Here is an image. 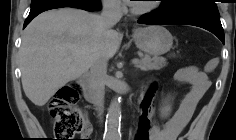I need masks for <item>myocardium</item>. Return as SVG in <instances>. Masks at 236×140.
<instances>
[{"instance_id": "obj_1", "label": "myocardium", "mask_w": 236, "mask_h": 140, "mask_svg": "<svg viewBox=\"0 0 236 140\" xmlns=\"http://www.w3.org/2000/svg\"><path fill=\"white\" fill-rule=\"evenodd\" d=\"M157 2H152L143 6H140L138 4H132L131 5V11L134 14L142 15V14H147L150 13L158 8Z\"/></svg>"}]
</instances>
